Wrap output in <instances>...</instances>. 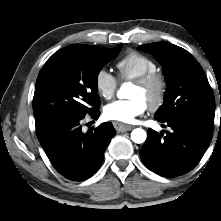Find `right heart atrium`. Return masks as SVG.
Returning a JSON list of instances; mask_svg holds the SVG:
<instances>
[{
    "instance_id": "obj_1",
    "label": "right heart atrium",
    "mask_w": 221,
    "mask_h": 221,
    "mask_svg": "<svg viewBox=\"0 0 221 221\" xmlns=\"http://www.w3.org/2000/svg\"><path fill=\"white\" fill-rule=\"evenodd\" d=\"M95 88L97 93L104 99L113 97L117 90V78L106 68H100L94 78Z\"/></svg>"
}]
</instances>
